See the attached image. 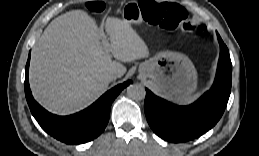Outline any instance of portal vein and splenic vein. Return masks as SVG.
I'll list each match as a JSON object with an SVG mask.
<instances>
[{
    "label": "portal vein and splenic vein",
    "instance_id": "1",
    "mask_svg": "<svg viewBox=\"0 0 259 156\" xmlns=\"http://www.w3.org/2000/svg\"><path fill=\"white\" fill-rule=\"evenodd\" d=\"M109 46V43L108 42H105V47H108Z\"/></svg>",
    "mask_w": 259,
    "mask_h": 156
}]
</instances>
